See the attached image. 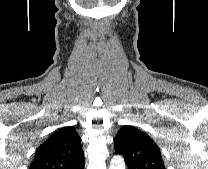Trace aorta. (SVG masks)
Returning <instances> with one entry per match:
<instances>
[{
	"mask_svg": "<svg viewBox=\"0 0 208 169\" xmlns=\"http://www.w3.org/2000/svg\"><path fill=\"white\" fill-rule=\"evenodd\" d=\"M109 169H125V162L121 156H114L110 162Z\"/></svg>",
	"mask_w": 208,
	"mask_h": 169,
	"instance_id": "1",
	"label": "aorta"
}]
</instances>
